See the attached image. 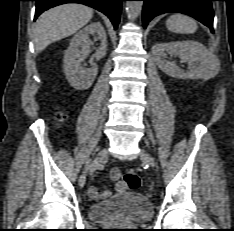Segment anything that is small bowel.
I'll return each mask as SVG.
<instances>
[{"label":"small bowel","mask_w":234,"mask_h":231,"mask_svg":"<svg viewBox=\"0 0 234 231\" xmlns=\"http://www.w3.org/2000/svg\"><path fill=\"white\" fill-rule=\"evenodd\" d=\"M127 190V186L123 181H118L115 185V191L119 193H124ZM89 195L93 200H100L103 198H107L111 195L110 190H105L102 193H99L97 188L94 186L89 187L88 189Z\"/></svg>","instance_id":"obj_1"}]
</instances>
